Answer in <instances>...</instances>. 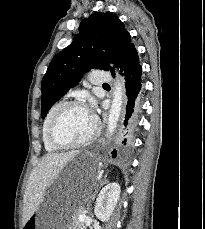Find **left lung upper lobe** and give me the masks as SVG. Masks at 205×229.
Returning a JSON list of instances; mask_svg holds the SVG:
<instances>
[{"instance_id":"1","label":"left lung upper lobe","mask_w":205,"mask_h":229,"mask_svg":"<svg viewBox=\"0 0 205 229\" xmlns=\"http://www.w3.org/2000/svg\"><path fill=\"white\" fill-rule=\"evenodd\" d=\"M131 44L130 34L112 13L99 12L83 19L73 42L53 57L42 79V118L85 72L92 68L113 71L110 63L117 66Z\"/></svg>"}]
</instances>
